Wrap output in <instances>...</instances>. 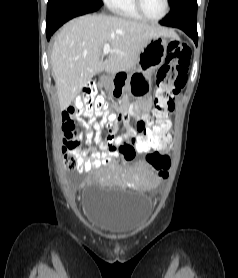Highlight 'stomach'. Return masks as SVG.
<instances>
[{"instance_id":"1","label":"stomach","mask_w":238,"mask_h":278,"mask_svg":"<svg viewBox=\"0 0 238 278\" xmlns=\"http://www.w3.org/2000/svg\"><path fill=\"white\" fill-rule=\"evenodd\" d=\"M167 38L157 36L150 39L139 55L137 67L118 69L115 74L101 77L100 84L112 93L113 99H125L128 90L136 96L151 92L152 73L164 63L167 55Z\"/></svg>"}]
</instances>
